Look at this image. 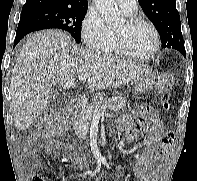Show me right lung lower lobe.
<instances>
[{
	"instance_id": "obj_1",
	"label": "right lung lower lobe",
	"mask_w": 197,
	"mask_h": 181,
	"mask_svg": "<svg viewBox=\"0 0 197 181\" xmlns=\"http://www.w3.org/2000/svg\"><path fill=\"white\" fill-rule=\"evenodd\" d=\"M42 29H48V26L31 19L20 18L18 28L16 31V37L14 40V47L28 33Z\"/></svg>"
}]
</instances>
